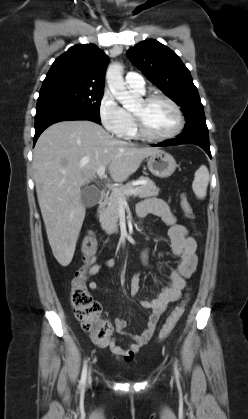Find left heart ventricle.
I'll return each mask as SVG.
<instances>
[{
	"instance_id": "obj_1",
	"label": "left heart ventricle",
	"mask_w": 248,
	"mask_h": 419,
	"mask_svg": "<svg viewBox=\"0 0 248 419\" xmlns=\"http://www.w3.org/2000/svg\"><path fill=\"white\" fill-rule=\"evenodd\" d=\"M133 112L142 116L147 130L154 135H165L177 125V115L174 109L162 100L149 104L140 100Z\"/></svg>"
}]
</instances>
